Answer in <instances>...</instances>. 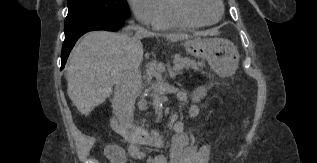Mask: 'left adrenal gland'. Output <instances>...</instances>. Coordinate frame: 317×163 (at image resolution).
Returning <instances> with one entry per match:
<instances>
[{"label": "left adrenal gland", "instance_id": "left-adrenal-gland-1", "mask_svg": "<svg viewBox=\"0 0 317 163\" xmlns=\"http://www.w3.org/2000/svg\"><path fill=\"white\" fill-rule=\"evenodd\" d=\"M178 74H179V72L173 71L172 68L169 69V75H170V77H171L172 79H174V78L176 77V75H178Z\"/></svg>", "mask_w": 317, "mask_h": 163}]
</instances>
